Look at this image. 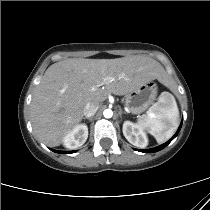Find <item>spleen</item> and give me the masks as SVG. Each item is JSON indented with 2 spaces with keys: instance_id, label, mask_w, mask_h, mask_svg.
Instances as JSON below:
<instances>
[{
  "instance_id": "spleen-1",
  "label": "spleen",
  "mask_w": 210,
  "mask_h": 210,
  "mask_svg": "<svg viewBox=\"0 0 210 210\" xmlns=\"http://www.w3.org/2000/svg\"><path fill=\"white\" fill-rule=\"evenodd\" d=\"M179 124V110L174 96L162 92L147 114L140 117L138 125L155 137L158 143L170 139Z\"/></svg>"
}]
</instances>
